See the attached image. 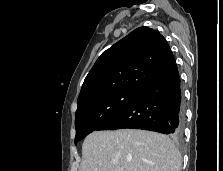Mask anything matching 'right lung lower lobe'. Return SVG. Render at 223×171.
<instances>
[{
	"instance_id": "obj_1",
	"label": "right lung lower lobe",
	"mask_w": 223,
	"mask_h": 171,
	"mask_svg": "<svg viewBox=\"0 0 223 171\" xmlns=\"http://www.w3.org/2000/svg\"><path fill=\"white\" fill-rule=\"evenodd\" d=\"M184 107L180 77L174 64L152 81L116 116L98 130L145 129L181 138Z\"/></svg>"
}]
</instances>
